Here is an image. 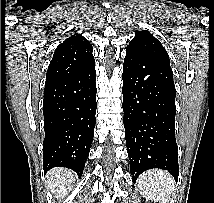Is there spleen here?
Instances as JSON below:
<instances>
[{
    "mask_svg": "<svg viewBox=\"0 0 214 203\" xmlns=\"http://www.w3.org/2000/svg\"><path fill=\"white\" fill-rule=\"evenodd\" d=\"M137 185L143 197L158 203H168L175 189L174 179L163 170H149L143 173Z\"/></svg>",
    "mask_w": 214,
    "mask_h": 203,
    "instance_id": "3e777b00",
    "label": "spleen"
}]
</instances>
